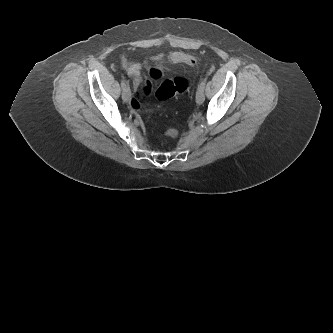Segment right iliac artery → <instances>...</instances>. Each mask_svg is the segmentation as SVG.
Segmentation results:
<instances>
[{
	"instance_id": "obj_1",
	"label": "right iliac artery",
	"mask_w": 333,
	"mask_h": 333,
	"mask_svg": "<svg viewBox=\"0 0 333 333\" xmlns=\"http://www.w3.org/2000/svg\"><path fill=\"white\" fill-rule=\"evenodd\" d=\"M121 87H122L123 90L126 89L127 85H126L125 80H122V81H121Z\"/></svg>"
}]
</instances>
